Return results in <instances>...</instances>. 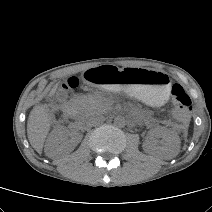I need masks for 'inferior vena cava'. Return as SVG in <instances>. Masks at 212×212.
Masks as SVG:
<instances>
[{"label": "inferior vena cava", "instance_id": "obj_1", "mask_svg": "<svg viewBox=\"0 0 212 212\" xmlns=\"http://www.w3.org/2000/svg\"><path fill=\"white\" fill-rule=\"evenodd\" d=\"M103 121H104V118L102 116L92 115L87 118L86 123L89 126H96V125H99L100 123H102Z\"/></svg>", "mask_w": 212, "mask_h": 212}]
</instances>
